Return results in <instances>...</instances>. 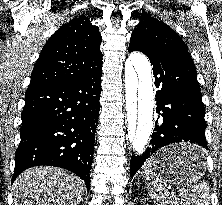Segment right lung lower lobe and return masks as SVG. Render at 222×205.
I'll return each mask as SVG.
<instances>
[{"label":"right lung lower lobe","mask_w":222,"mask_h":205,"mask_svg":"<svg viewBox=\"0 0 222 205\" xmlns=\"http://www.w3.org/2000/svg\"><path fill=\"white\" fill-rule=\"evenodd\" d=\"M101 73L27 89L12 182L27 168L48 165L75 173L89 190Z\"/></svg>","instance_id":"obj_1"}]
</instances>
